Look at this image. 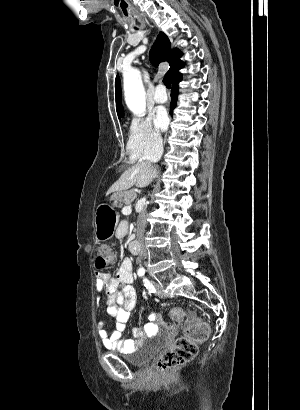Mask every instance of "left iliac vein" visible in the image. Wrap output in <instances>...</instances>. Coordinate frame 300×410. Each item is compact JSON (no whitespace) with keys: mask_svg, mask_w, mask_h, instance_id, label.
Listing matches in <instances>:
<instances>
[{"mask_svg":"<svg viewBox=\"0 0 300 410\" xmlns=\"http://www.w3.org/2000/svg\"><path fill=\"white\" fill-rule=\"evenodd\" d=\"M155 287H156V289H157V295H158V297H160V298H165L166 295L164 294L161 285H160L159 283H155Z\"/></svg>","mask_w":300,"mask_h":410,"instance_id":"left-iliac-vein-1","label":"left iliac vein"}]
</instances>
